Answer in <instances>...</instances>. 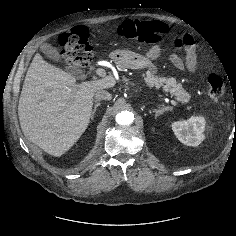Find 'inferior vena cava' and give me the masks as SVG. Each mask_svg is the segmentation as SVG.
Listing matches in <instances>:
<instances>
[{"label": "inferior vena cava", "instance_id": "1", "mask_svg": "<svg viewBox=\"0 0 236 236\" xmlns=\"http://www.w3.org/2000/svg\"><path fill=\"white\" fill-rule=\"evenodd\" d=\"M111 98H112V95L106 90H98L95 94L96 101L111 100Z\"/></svg>", "mask_w": 236, "mask_h": 236}]
</instances>
